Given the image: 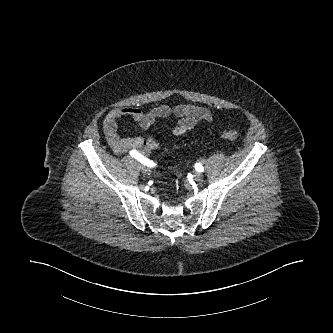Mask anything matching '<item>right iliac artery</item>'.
<instances>
[{"mask_svg": "<svg viewBox=\"0 0 333 333\" xmlns=\"http://www.w3.org/2000/svg\"><path fill=\"white\" fill-rule=\"evenodd\" d=\"M129 154L144 165H147V166H150V167H153L155 165L151 160L144 157L138 151L132 150V151H130Z\"/></svg>", "mask_w": 333, "mask_h": 333, "instance_id": "right-iliac-artery-1", "label": "right iliac artery"}]
</instances>
